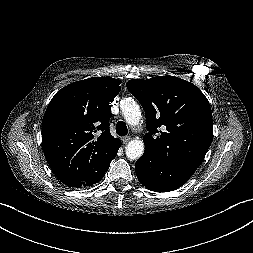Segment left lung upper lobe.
<instances>
[{"label":"left lung upper lobe","mask_w":253,"mask_h":253,"mask_svg":"<svg viewBox=\"0 0 253 253\" xmlns=\"http://www.w3.org/2000/svg\"><path fill=\"white\" fill-rule=\"evenodd\" d=\"M146 117L145 151L159 162L200 166L213 139L209 102L194 84L174 76L126 83Z\"/></svg>","instance_id":"left-lung-upper-lobe-1"}]
</instances>
